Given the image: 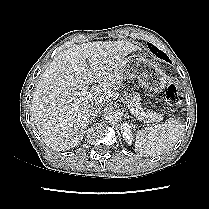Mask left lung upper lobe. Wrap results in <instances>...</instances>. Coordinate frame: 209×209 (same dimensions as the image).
<instances>
[{
    "label": "left lung upper lobe",
    "instance_id": "obj_1",
    "mask_svg": "<svg viewBox=\"0 0 209 209\" xmlns=\"http://www.w3.org/2000/svg\"><path fill=\"white\" fill-rule=\"evenodd\" d=\"M148 44V47L149 49L159 58L163 59V60H166L168 62H170L168 56L163 53L162 51H160L158 48H156L154 45H152L151 43H147Z\"/></svg>",
    "mask_w": 209,
    "mask_h": 209
}]
</instances>
